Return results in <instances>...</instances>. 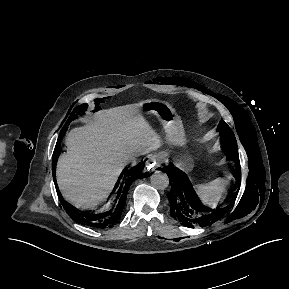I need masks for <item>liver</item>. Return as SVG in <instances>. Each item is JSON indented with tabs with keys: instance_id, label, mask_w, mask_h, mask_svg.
<instances>
[{
	"instance_id": "obj_1",
	"label": "liver",
	"mask_w": 289,
	"mask_h": 289,
	"mask_svg": "<svg viewBox=\"0 0 289 289\" xmlns=\"http://www.w3.org/2000/svg\"><path fill=\"white\" fill-rule=\"evenodd\" d=\"M66 145L56 168L60 192L77 208L92 209L107 198L125 164L157 149L160 140L141 105L131 104L98 112L95 122L67 134Z\"/></svg>"
}]
</instances>
